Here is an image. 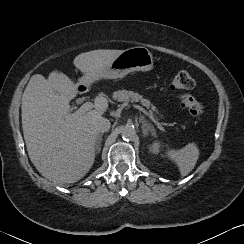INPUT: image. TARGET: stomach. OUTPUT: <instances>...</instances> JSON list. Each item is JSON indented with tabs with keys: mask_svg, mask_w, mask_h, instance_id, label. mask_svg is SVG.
Segmentation results:
<instances>
[{
	"mask_svg": "<svg viewBox=\"0 0 244 244\" xmlns=\"http://www.w3.org/2000/svg\"><path fill=\"white\" fill-rule=\"evenodd\" d=\"M152 53L143 46H135L122 50L99 74L98 80L125 77L134 71H150L153 69Z\"/></svg>",
	"mask_w": 244,
	"mask_h": 244,
	"instance_id": "stomach-1",
	"label": "stomach"
}]
</instances>
